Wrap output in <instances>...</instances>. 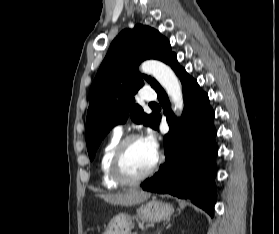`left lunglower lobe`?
<instances>
[{"instance_id": "0a47b994", "label": "left lung lower lobe", "mask_w": 279, "mask_h": 234, "mask_svg": "<svg viewBox=\"0 0 279 234\" xmlns=\"http://www.w3.org/2000/svg\"><path fill=\"white\" fill-rule=\"evenodd\" d=\"M182 83L184 111L177 119L170 108L168 96L159 85L155 88L164 109L169 132L164 136V165L142 188L156 193H169L192 202L213 216L216 189L215 158L217 146L214 111L208 95L197 81L179 66L174 54L167 63ZM161 116L158 117L159 126Z\"/></svg>"}]
</instances>
